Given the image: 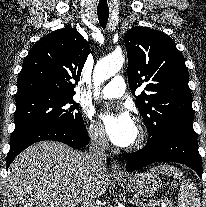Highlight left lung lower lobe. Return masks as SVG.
Masks as SVG:
<instances>
[{
    "instance_id": "0a47b994",
    "label": "left lung lower lobe",
    "mask_w": 206,
    "mask_h": 207,
    "mask_svg": "<svg viewBox=\"0 0 206 207\" xmlns=\"http://www.w3.org/2000/svg\"><path fill=\"white\" fill-rule=\"evenodd\" d=\"M161 161L185 164L202 176V159L193 126L176 127L154 144H146L143 149L125 157L127 171H135Z\"/></svg>"
}]
</instances>
